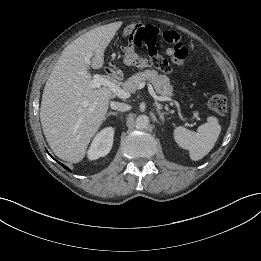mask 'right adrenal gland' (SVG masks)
Here are the masks:
<instances>
[{"label":"right adrenal gland","mask_w":261,"mask_h":261,"mask_svg":"<svg viewBox=\"0 0 261 261\" xmlns=\"http://www.w3.org/2000/svg\"><path fill=\"white\" fill-rule=\"evenodd\" d=\"M117 114H118V112H109V113H107L106 118L109 117L110 115L116 116Z\"/></svg>","instance_id":"1"}]
</instances>
